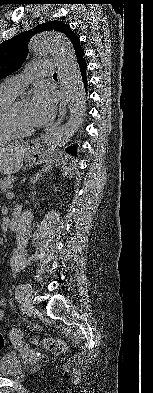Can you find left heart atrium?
I'll use <instances>...</instances> for the list:
<instances>
[{
    "mask_svg": "<svg viewBox=\"0 0 153 393\" xmlns=\"http://www.w3.org/2000/svg\"><path fill=\"white\" fill-rule=\"evenodd\" d=\"M56 115V101L44 90H37L30 104L29 118L34 127L50 123Z\"/></svg>",
    "mask_w": 153,
    "mask_h": 393,
    "instance_id": "obj_1",
    "label": "left heart atrium"
}]
</instances>
